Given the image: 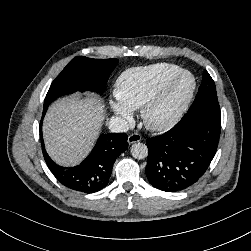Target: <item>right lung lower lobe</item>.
<instances>
[{
    "mask_svg": "<svg viewBox=\"0 0 251 251\" xmlns=\"http://www.w3.org/2000/svg\"><path fill=\"white\" fill-rule=\"evenodd\" d=\"M47 108H43L40 122V138L44 159L56 177L65 187L78 192L94 193L103 189L109 181L116 158L128 149L126 133L101 135L90 155L76 167H61L51 160L42 139V121Z\"/></svg>",
    "mask_w": 251,
    "mask_h": 251,
    "instance_id": "obj_1",
    "label": "right lung lower lobe"
}]
</instances>
